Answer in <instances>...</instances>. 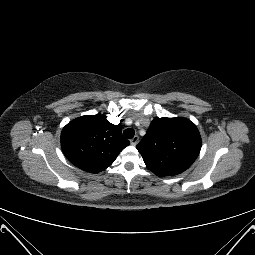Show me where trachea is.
I'll use <instances>...</instances> for the list:
<instances>
[{"label":"trachea","instance_id":"trachea-1","mask_svg":"<svg viewBox=\"0 0 255 255\" xmlns=\"http://www.w3.org/2000/svg\"><path fill=\"white\" fill-rule=\"evenodd\" d=\"M135 135V131L132 128L125 129L123 131V137L126 139H131Z\"/></svg>","mask_w":255,"mask_h":255}]
</instances>
